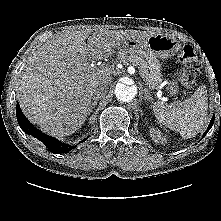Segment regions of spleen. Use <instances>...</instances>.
<instances>
[{"label":"spleen","instance_id":"spleen-1","mask_svg":"<svg viewBox=\"0 0 221 221\" xmlns=\"http://www.w3.org/2000/svg\"><path fill=\"white\" fill-rule=\"evenodd\" d=\"M207 90L200 86L191 98L177 106L163 102L153 105L156 118L168 128L180 133L183 138L195 137L207 121Z\"/></svg>","mask_w":221,"mask_h":221}]
</instances>
